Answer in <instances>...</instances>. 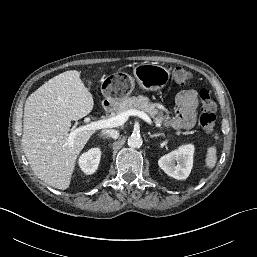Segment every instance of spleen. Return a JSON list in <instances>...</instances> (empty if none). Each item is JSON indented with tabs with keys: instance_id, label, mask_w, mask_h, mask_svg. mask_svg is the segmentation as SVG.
Here are the masks:
<instances>
[{
	"instance_id": "3e777b00",
	"label": "spleen",
	"mask_w": 257,
	"mask_h": 257,
	"mask_svg": "<svg viewBox=\"0 0 257 257\" xmlns=\"http://www.w3.org/2000/svg\"><path fill=\"white\" fill-rule=\"evenodd\" d=\"M214 139L216 141L219 140V135L217 133L214 134ZM217 163V147L215 145L207 148L206 158H205V167L208 169H212L215 167Z\"/></svg>"
}]
</instances>
